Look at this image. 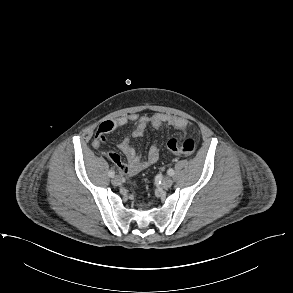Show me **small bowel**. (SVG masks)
<instances>
[{"label": "small bowel", "instance_id": "obj_1", "mask_svg": "<svg viewBox=\"0 0 293 293\" xmlns=\"http://www.w3.org/2000/svg\"><path fill=\"white\" fill-rule=\"evenodd\" d=\"M129 123L136 124L131 136L119 143V149L126 156L128 162L124 163L116 153H107V157L117 166L121 173L128 176L138 174L142 170L153 165L159 158V148L156 144H152L148 150L147 156L142 158L131 145V137L140 138L145 134L148 127L159 129L164 125L189 133L193 131L192 123L178 116L164 113H156L151 116H139L137 114L122 115L115 119L105 120L97 127L92 141L93 148L99 149L105 142L106 136L109 133Z\"/></svg>", "mask_w": 293, "mask_h": 293}]
</instances>
